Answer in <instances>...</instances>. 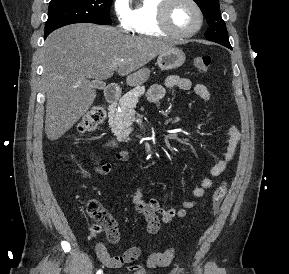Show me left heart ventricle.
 Wrapping results in <instances>:
<instances>
[{
  "mask_svg": "<svg viewBox=\"0 0 289 274\" xmlns=\"http://www.w3.org/2000/svg\"><path fill=\"white\" fill-rule=\"evenodd\" d=\"M170 22L178 31H189L198 24V14L187 0H177L170 10Z\"/></svg>",
  "mask_w": 289,
  "mask_h": 274,
  "instance_id": "left-heart-ventricle-1",
  "label": "left heart ventricle"
}]
</instances>
